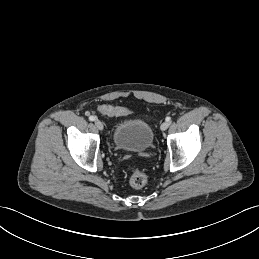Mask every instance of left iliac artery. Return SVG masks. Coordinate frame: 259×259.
<instances>
[{"instance_id": "obj_1", "label": "left iliac artery", "mask_w": 259, "mask_h": 259, "mask_svg": "<svg viewBox=\"0 0 259 259\" xmlns=\"http://www.w3.org/2000/svg\"><path fill=\"white\" fill-rule=\"evenodd\" d=\"M167 122H170L171 121V117H166L165 119Z\"/></svg>"}]
</instances>
